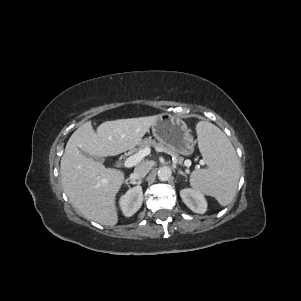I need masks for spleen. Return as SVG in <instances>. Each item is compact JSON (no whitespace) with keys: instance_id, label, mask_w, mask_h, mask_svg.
<instances>
[{"instance_id":"3e777b00","label":"spleen","mask_w":301,"mask_h":301,"mask_svg":"<svg viewBox=\"0 0 301 301\" xmlns=\"http://www.w3.org/2000/svg\"><path fill=\"white\" fill-rule=\"evenodd\" d=\"M198 145L207 169L194 170L190 185L201 193L214 197L220 205L234 198L239 181L240 164L227 136L214 124H197Z\"/></svg>"}]
</instances>
